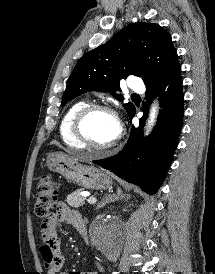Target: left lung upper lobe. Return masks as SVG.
I'll list each match as a JSON object with an SVG mask.
<instances>
[{
	"label": "left lung upper lobe",
	"instance_id": "left-lung-upper-lobe-1",
	"mask_svg": "<svg viewBox=\"0 0 215 274\" xmlns=\"http://www.w3.org/2000/svg\"><path fill=\"white\" fill-rule=\"evenodd\" d=\"M179 65L167 31L154 23L130 24L77 62L61 105L89 91L108 92L122 101L123 96L118 93L121 79L135 75L146 85L160 80ZM124 108L128 116L135 110L130 102Z\"/></svg>",
	"mask_w": 215,
	"mask_h": 274
}]
</instances>
